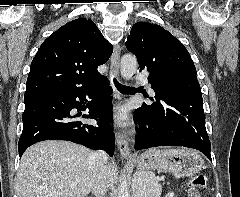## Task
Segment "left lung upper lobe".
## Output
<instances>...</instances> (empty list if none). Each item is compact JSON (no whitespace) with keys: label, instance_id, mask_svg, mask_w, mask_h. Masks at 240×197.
<instances>
[{"label":"left lung upper lobe","instance_id":"5c2ea615","mask_svg":"<svg viewBox=\"0 0 240 197\" xmlns=\"http://www.w3.org/2000/svg\"><path fill=\"white\" fill-rule=\"evenodd\" d=\"M136 55L140 71H149L156 101L182 91L201 94L194 63L182 43L161 26L149 22L133 25L126 41Z\"/></svg>","mask_w":240,"mask_h":197}]
</instances>
